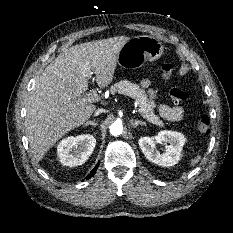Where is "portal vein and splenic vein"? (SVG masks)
<instances>
[{
    "label": "portal vein and splenic vein",
    "instance_id": "18ae733b",
    "mask_svg": "<svg viewBox=\"0 0 233 233\" xmlns=\"http://www.w3.org/2000/svg\"><path fill=\"white\" fill-rule=\"evenodd\" d=\"M93 72H90L89 77H92ZM94 79V78H93ZM100 100V96L94 90H90L84 98L78 99V103H94ZM140 113V109H138Z\"/></svg>",
    "mask_w": 233,
    "mask_h": 233
}]
</instances>
